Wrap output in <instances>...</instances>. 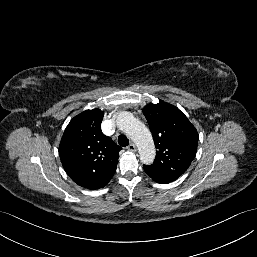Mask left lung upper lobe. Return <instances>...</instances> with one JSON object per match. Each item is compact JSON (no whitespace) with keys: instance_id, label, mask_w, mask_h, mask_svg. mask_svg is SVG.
<instances>
[{"instance_id":"left-lung-upper-lobe-1","label":"left lung upper lobe","mask_w":257,"mask_h":257,"mask_svg":"<svg viewBox=\"0 0 257 257\" xmlns=\"http://www.w3.org/2000/svg\"><path fill=\"white\" fill-rule=\"evenodd\" d=\"M142 111L157 148L154 163L143 168L153 180L172 182L188 169L196 155L197 130L183 112L164 101L148 104Z\"/></svg>"}]
</instances>
